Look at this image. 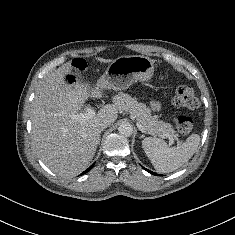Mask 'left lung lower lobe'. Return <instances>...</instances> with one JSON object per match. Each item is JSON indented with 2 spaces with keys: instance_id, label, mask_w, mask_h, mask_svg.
Returning a JSON list of instances; mask_svg holds the SVG:
<instances>
[{
  "instance_id": "1",
  "label": "left lung lower lobe",
  "mask_w": 235,
  "mask_h": 235,
  "mask_svg": "<svg viewBox=\"0 0 235 235\" xmlns=\"http://www.w3.org/2000/svg\"><path fill=\"white\" fill-rule=\"evenodd\" d=\"M144 168V167H143ZM146 171H148L149 173H151V174H153V175H158V174H156V173H154V172H152V171H150V170H147L146 168H144Z\"/></svg>"
}]
</instances>
